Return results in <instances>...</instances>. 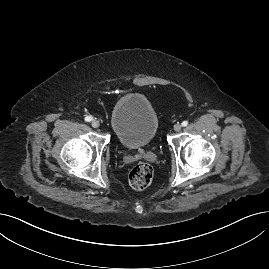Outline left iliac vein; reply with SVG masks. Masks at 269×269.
<instances>
[{
    "label": "left iliac vein",
    "mask_w": 269,
    "mask_h": 269,
    "mask_svg": "<svg viewBox=\"0 0 269 269\" xmlns=\"http://www.w3.org/2000/svg\"><path fill=\"white\" fill-rule=\"evenodd\" d=\"M174 131L178 132L181 130V125L180 124H175L173 127Z\"/></svg>",
    "instance_id": "left-iliac-vein-1"
}]
</instances>
